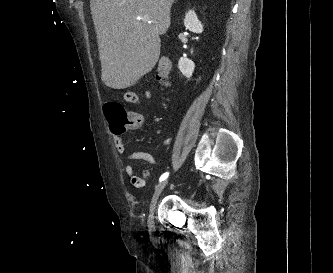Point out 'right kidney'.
<instances>
[{
  "label": "right kidney",
  "instance_id": "right-kidney-1",
  "mask_svg": "<svg viewBox=\"0 0 333 273\" xmlns=\"http://www.w3.org/2000/svg\"><path fill=\"white\" fill-rule=\"evenodd\" d=\"M184 25L186 29L194 33H202L203 25L198 20L197 15L193 10L188 11L185 15ZM180 72L186 77L190 78L194 72L195 64L192 60L182 57L178 62Z\"/></svg>",
  "mask_w": 333,
  "mask_h": 273
}]
</instances>
